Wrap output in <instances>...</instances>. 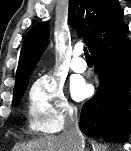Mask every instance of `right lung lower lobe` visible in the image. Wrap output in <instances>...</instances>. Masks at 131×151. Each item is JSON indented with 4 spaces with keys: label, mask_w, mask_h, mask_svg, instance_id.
Instances as JSON below:
<instances>
[{
    "label": "right lung lower lobe",
    "mask_w": 131,
    "mask_h": 151,
    "mask_svg": "<svg viewBox=\"0 0 131 151\" xmlns=\"http://www.w3.org/2000/svg\"><path fill=\"white\" fill-rule=\"evenodd\" d=\"M128 29L97 47L92 59L99 77V89L81 110L80 129L90 137L124 142L131 129V41Z\"/></svg>",
    "instance_id": "right-lung-lower-lobe-1"
}]
</instances>
